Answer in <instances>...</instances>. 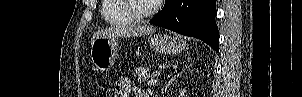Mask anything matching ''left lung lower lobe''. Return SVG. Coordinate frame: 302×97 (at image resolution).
Wrapping results in <instances>:
<instances>
[{"label":"left lung lower lobe","mask_w":302,"mask_h":97,"mask_svg":"<svg viewBox=\"0 0 302 97\" xmlns=\"http://www.w3.org/2000/svg\"><path fill=\"white\" fill-rule=\"evenodd\" d=\"M215 16L216 0H166L162 11L150 23L201 39L218 52Z\"/></svg>","instance_id":"left-lung-lower-lobe-1"}]
</instances>
